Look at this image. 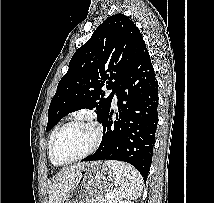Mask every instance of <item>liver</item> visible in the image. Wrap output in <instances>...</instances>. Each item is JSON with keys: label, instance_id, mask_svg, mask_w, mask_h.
<instances>
[{"label": "liver", "instance_id": "liver-1", "mask_svg": "<svg viewBox=\"0 0 214 203\" xmlns=\"http://www.w3.org/2000/svg\"><path fill=\"white\" fill-rule=\"evenodd\" d=\"M84 163H78L59 172L52 178L49 190V203H63L70 190L75 186Z\"/></svg>", "mask_w": 214, "mask_h": 203}]
</instances>
